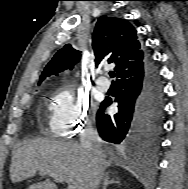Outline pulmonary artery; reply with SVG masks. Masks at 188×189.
<instances>
[{
    "mask_svg": "<svg viewBox=\"0 0 188 189\" xmlns=\"http://www.w3.org/2000/svg\"><path fill=\"white\" fill-rule=\"evenodd\" d=\"M96 86L100 91L105 92L109 89L110 82L106 78L101 77L96 81Z\"/></svg>",
    "mask_w": 188,
    "mask_h": 189,
    "instance_id": "obj_1",
    "label": "pulmonary artery"
}]
</instances>
